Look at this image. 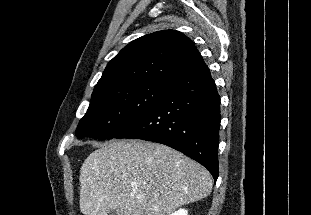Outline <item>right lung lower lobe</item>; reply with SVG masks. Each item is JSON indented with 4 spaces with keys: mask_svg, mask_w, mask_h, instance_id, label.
<instances>
[{
    "mask_svg": "<svg viewBox=\"0 0 311 215\" xmlns=\"http://www.w3.org/2000/svg\"><path fill=\"white\" fill-rule=\"evenodd\" d=\"M220 96L207 65L173 80L143 118L115 138L172 147L219 175Z\"/></svg>",
    "mask_w": 311,
    "mask_h": 215,
    "instance_id": "1",
    "label": "right lung lower lobe"
}]
</instances>
